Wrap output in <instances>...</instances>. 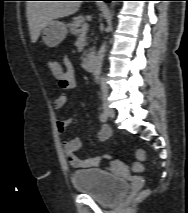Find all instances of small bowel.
Segmentation results:
<instances>
[{
  "mask_svg": "<svg viewBox=\"0 0 188 213\" xmlns=\"http://www.w3.org/2000/svg\"><path fill=\"white\" fill-rule=\"evenodd\" d=\"M58 85L64 92L70 91L77 86V79L71 62L65 59V71L57 77ZM69 97L66 93L59 95L54 101V109L62 110L68 103ZM72 119L58 120L56 123L57 130L64 133L71 125ZM99 139L107 140L111 136V129L107 124H101L98 132ZM81 141L79 138H72L64 142V151L70 165L76 169L94 168L99 166L104 160L110 159L111 156L106 154L91 158H79L75 152L79 149Z\"/></svg>",
  "mask_w": 188,
  "mask_h": 213,
  "instance_id": "obj_1",
  "label": "small bowel"
}]
</instances>
